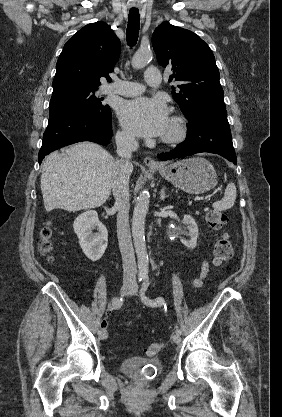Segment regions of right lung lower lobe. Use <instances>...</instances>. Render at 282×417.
<instances>
[{
    "label": "right lung lower lobe",
    "instance_id": "right-lung-lower-lobe-1",
    "mask_svg": "<svg viewBox=\"0 0 282 417\" xmlns=\"http://www.w3.org/2000/svg\"><path fill=\"white\" fill-rule=\"evenodd\" d=\"M112 113L95 110L67 109L49 117L38 160L63 146L80 141L109 144L112 137Z\"/></svg>",
    "mask_w": 282,
    "mask_h": 417
}]
</instances>
